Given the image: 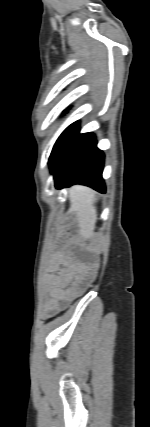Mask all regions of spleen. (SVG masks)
Returning <instances> with one entry per match:
<instances>
[{
    "mask_svg": "<svg viewBox=\"0 0 150 427\" xmlns=\"http://www.w3.org/2000/svg\"><path fill=\"white\" fill-rule=\"evenodd\" d=\"M72 207L75 209L76 218L84 236L90 237L94 233L97 220L95 203L98 198L94 192L86 187H75L69 192Z\"/></svg>",
    "mask_w": 150,
    "mask_h": 427,
    "instance_id": "3e777b00",
    "label": "spleen"
}]
</instances>
